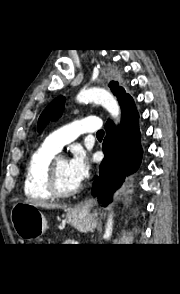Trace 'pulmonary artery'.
Instances as JSON below:
<instances>
[{
    "instance_id": "e3ab8cb5",
    "label": "pulmonary artery",
    "mask_w": 180,
    "mask_h": 294,
    "mask_svg": "<svg viewBox=\"0 0 180 294\" xmlns=\"http://www.w3.org/2000/svg\"><path fill=\"white\" fill-rule=\"evenodd\" d=\"M100 127L101 122L97 116L85 117L54 131L45 139L44 144L59 152L64 145L74 141L81 134L96 131Z\"/></svg>"
}]
</instances>
